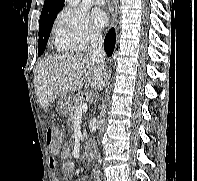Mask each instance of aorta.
<instances>
[{"mask_svg": "<svg viewBox=\"0 0 197 181\" xmlns=\"http://www.w3.org/2000/svg\"><path fill=\"white\" fill-rule=\"evenodd\" d=\"M65 1L71 7H76L80 3V0H65Z\"/></svg>", "mask_w": 197, "mask_h": 181, "instance_id": "obj_1", "label": "aorta"}]
</instances>
